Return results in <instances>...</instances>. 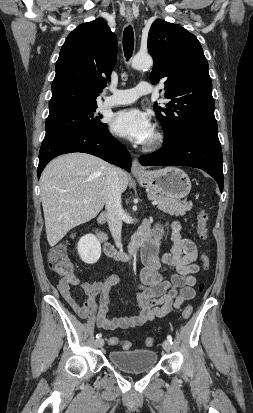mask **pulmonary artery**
<instances>
[{
  "label": "pulmonary artery",
  "mask_w": 253,
  "mask_h": 413,
  "mask_svg": "<svg viewBox=\"0 0 253 413\" xmlns=\"http://www.w3.org/2000/svg\"><path fill=\"white\" fill-rule=\"evenodd\" d=\"M153 92L152 86L148 82H140L135 88L113 89L112 95L108 96L104 102V108H111L135 102L140 96L148 95Z\"/></svg>",
  "instance_id": "1"
}]
</instances>
